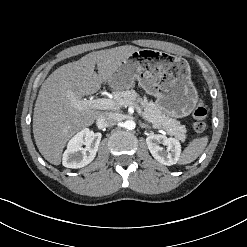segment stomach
<instances>
[{"label": "stomach", "mask_w": 247, "mask_h": 247, "mask_svg": "<svg viewBox=\"0 0 247 247\" xmlns=\"http://www.w3.org/2000/svg\"><path fill=\"white\" fill-rule=\"evenodd\" d=\"M157 98L162 113L181 119L190 115L198 100L189 64L182 58L152 49H140L125 59L110 79L116 90L129 89L135 81Z\"/></svg>", "instance_id": "obj_1"}]
</instances>
